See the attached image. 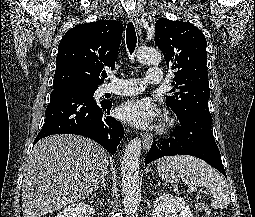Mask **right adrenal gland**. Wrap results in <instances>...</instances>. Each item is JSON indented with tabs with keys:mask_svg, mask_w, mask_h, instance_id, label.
I'll list each match as a JSON object with an SVG mask.
<instances>
[{
	"mask_svg": "<svg viewBox=\"0 0 255 217\" xmlns=\"http://www.w3.org/2000/svg\"><path fill=\"white\" fill-rule=\"evenodd\" d=\"M101 187H103V189L106 190L105 178H103L102 181H101Z\"/></svg>",
	"mask_w": 255,
	"mask_h": 217,
	"instance_id": "2a0ac1e0",
	"label": "right adrenal gland"
}]
</instances>
